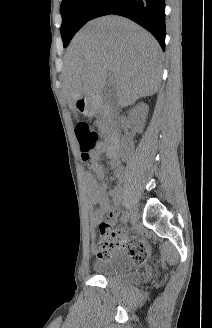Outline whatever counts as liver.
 <instances>
[{"instance_id":"liver-1","label":"liver","mask_w":212,"mask_h":328,"mask_svg":"<svg viewBox=\"0 0 212 328\" xmlns=\"http://www.w3.org/2000/svg\"><path fill=\"white\" fill-rule=\"evenodd\" d=\"M161 50L155 38L119 16L89 21L73 38L65 56L63 88L74 108L77 100L100 95L113 73L118 103L133 104L157 92Z\"/></svg>"}]
</instances>
